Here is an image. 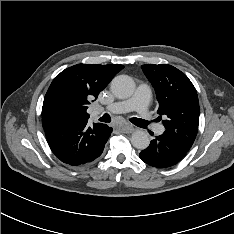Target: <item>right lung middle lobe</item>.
<instances>
[{"label": "right lung middle lobe", "mask_w": 234, "mask_h": 234, "mask_svg": "<svg viewBox=\"0 0 234 234\" xmlns=\"http://www.w3.org/2000/svg\"><path fill=\"white\" fill-rule=\"evenodd\" d=\"M63 122H64V120L62 117L55 115L49 119L48 125H54V124H59V123H63Z\"/></svg>", "instance_id": "dd1d6c3e"}]
</instances>
